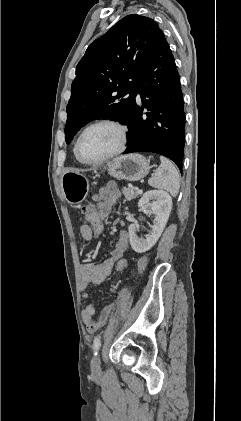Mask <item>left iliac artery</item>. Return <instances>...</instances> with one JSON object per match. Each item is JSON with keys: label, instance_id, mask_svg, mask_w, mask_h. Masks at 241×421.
<instances>
[{"label": "left iliac artery", "instance_id": "44dca946", "mask_svg": "<svg viewBox=\"0 0 241 421\" xmlns=\"http://www.w3.org/2000/svg\"><path fill=\"white\" fill-rule=\"evenodd\" d=\"M100 346H101V339L100 337H96L93 342V349H94L95 355H97V351L99 350Z\"/></svg>", "mask_w": 241, "mask_h": 421}]
</instances>
